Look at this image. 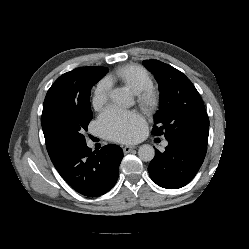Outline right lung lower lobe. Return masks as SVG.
<instances>
[{"mask_svg": "<svg viewBox=\"0 0 249 249\" xmlns=\"http://www.w3.org/2000/svg\"><path fill=\"white\" fill-rule=\"evenodd\" d=\"M50 158L74 190L95 197L105 194L116 184L123 151L117 145H106L95 153L84 143L60 147Z\"/></svg>", "mask_w": 249, "mask_h": 249, "instance_id": "right-lung-lower-lobe-1", "label": "right lung lower lobe"}]
</instances>
